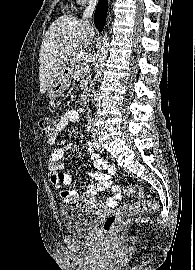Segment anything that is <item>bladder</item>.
Segmentation results:
<instances>
[{
  "label": "bladder",
  "mask_w": 195,
  "mask_h": 270,
  "mask_svg": "<svg viewBox=\"0 0 195 270\" xmlns=\"http://www.w3.org/2000/svg\"><path fill=\"white\" fill-rule=\"evenodd\" d=\"M59 216L64 230L72 235L87 236L91 234L98 216V208L93 205L62 207Z\"/></svg>",
  "instance_id": "31cf9c89"
}]
</instances>
